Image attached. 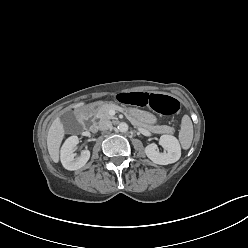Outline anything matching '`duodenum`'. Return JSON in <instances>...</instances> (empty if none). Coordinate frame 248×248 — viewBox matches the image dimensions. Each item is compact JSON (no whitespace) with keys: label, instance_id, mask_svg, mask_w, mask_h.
Here are the masks:
<instances>
[{"label":"duodenum","instance_id":"1","mask_svg":"<svg viewBox=\"0 0 248 248\" xmlns=\"http://www.w3.org/2000/svg\"><path fill=\"white\" fill-rule=\"evenodd\" d=\"M94 117H95V111L90 109L83 111L80 114L79 119L82 123H87L90 122ZM89 129L90 131L94 132L97 130V125L91 122L89 125Z\"/></svg>","mask_w":248,"mask_h":248}]
</instances>
